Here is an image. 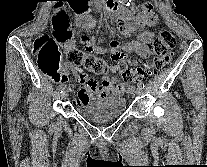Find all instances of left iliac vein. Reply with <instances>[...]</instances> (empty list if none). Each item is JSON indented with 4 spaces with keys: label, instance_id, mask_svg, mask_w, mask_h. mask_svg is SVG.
<instances>
[{
    "label": "left iliac vein",
    "instance_id": "1",
    "mask_svg": "<svg viewBox=\"0 0 207 167\" xmlns=\"http://www.w3.org/2000/svg\"><path fill=\"white\" fill-rule=\"evenodd\" d=\"M142 92H143V89L141 87H137V89L135 91L136 95H141Z\"/></svg>",
    "mask_w": 207,
    "mask_h": 167
}]
</instances>
